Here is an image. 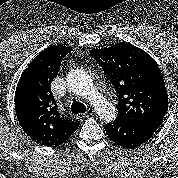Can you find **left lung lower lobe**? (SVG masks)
Segmentation results:
<instances>
[{
	"label": "left lung lower lobe",
	"instance_id": "1",
	"mask_svg": "<svg viewBox=\"0 0 178 178\" xmlns=\"http://www.w3.org/2000/svg\"><path fill=\"white\" fill-rule=\"evenodd\" d=\"M160 128V125L125 119H115L105 125L109 138L124 148H135L147 142Z\"/></svg>",
	"mask_w": 178,
	"mask_h": 178
}]
</instances>
